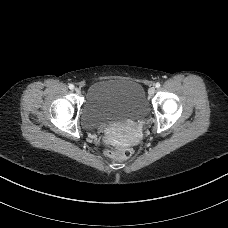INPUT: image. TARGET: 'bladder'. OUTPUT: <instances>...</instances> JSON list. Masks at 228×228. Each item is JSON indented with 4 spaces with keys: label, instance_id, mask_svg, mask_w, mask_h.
<instances>
[{
    "label": "bladder",
    "instance_id": "31cf9c89",
    "mask_svg": "<svg viewBox=\"0 0 228 228\" xmlns=\"http://www.w3.org/2000/svg\"><path fill=\"white\" fill-rule=\"evenodd\" d=\"M148 109L140 83L130 79L101 80L89 86L80 118L85 129L95 130L116 122L142 119Z\"/></svg>",
    "mask_w": 228,
    "mask_h": 228
}]
</instances>
